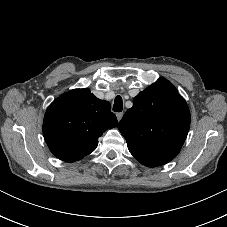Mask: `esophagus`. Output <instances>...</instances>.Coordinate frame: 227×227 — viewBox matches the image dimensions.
Here are the masks:
<instances>
[{"mask_svg":"<svg viewBox=\"0 0 227 227\" xmlns=\"http://www.w3.org/2000/svg\"><path fill=\"white\" fill-rule=\"evenodd\" d=\"M117 120L120 121L123 117V112L116 113Z\"/></svg>","mask_w":227,"mask_h":227,"instance_id":"esophagus-1","label":"esophagus"}]
</instances>
